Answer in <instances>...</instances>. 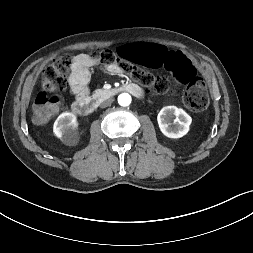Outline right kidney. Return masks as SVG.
<instances>
[{"mask_svg":"<svg viewBox=\"0 0 253 253\" xmlns=\"http://www.w3.org/2000/svg\"><path fill=\"white\" fill-rule=\"evenodd\" d=\"M78 122L76 115L72 112H63L56 119L53 132L56 137L60 138L67 145H76Z\"/></svg>","mask_w":253,"mask_h":253,"instance_id":"ca27d5eb","label":"right kidney"}]
</instances>
